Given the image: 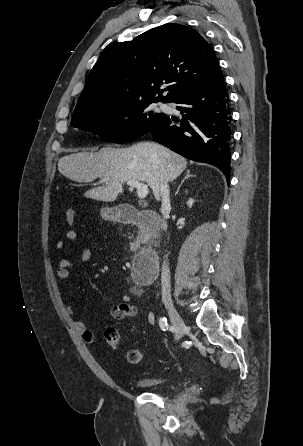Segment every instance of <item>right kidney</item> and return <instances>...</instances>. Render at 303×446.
<instances>
[{
	"instance_id": "1",
	"label": "right kidney",
	"mask_w": 303,
	"mask_h": 446,
	"mask_svg": "<svg viewBox=\"0 0 303 446\" xmlns=\"http://www.w3.org/2000/svg\"><path fill=\"white\" fill-rule=\"evenodd\" d=\"M193 203H194V200L193 199H189L188 202H187V205L189 207H192Z\"/></svg>"
}]
</instances>
